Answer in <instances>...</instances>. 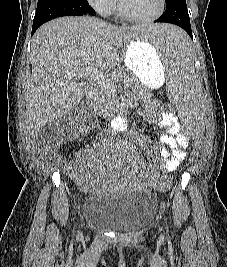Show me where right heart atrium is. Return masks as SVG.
Returning a JSON list of instances; mask_svg holds the SVG:
<instances>
[{"label":"right heart atrium","instance_id":"d8ad5b80","mask_svg":"<svg viewBox=\"0 0 227 267\" xmlns=\"http://www.w3.org/2000/svg\"><path fill=\"white\" fill-rule=\"evenodd\" d=\"M87 2L102 15H110L116 6L115 0H87Z\"/></svg>","mask_w":227,"mask_h":267}]
</instances>
